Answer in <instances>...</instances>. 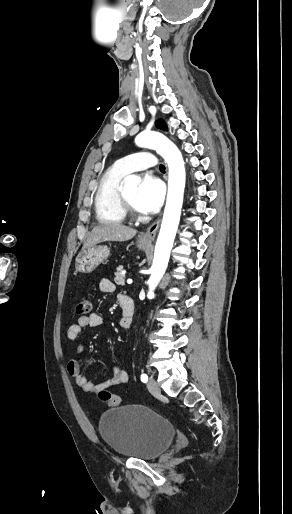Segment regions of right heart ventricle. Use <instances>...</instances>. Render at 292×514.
Segmentation results:
<instances>
[{
	"instance_id": "e07e8e85",
	"label": "right heart ventricle",
	"mask_w": 292,
	"mask_h": 514,
	"mask_svg": "<svg viewBox=\"0 0 292 514\" xmlns=\"http://www.w3.org/2000/svg\"><path fill=\"white\" fill-rule=\"evenodd\" d=\"M125 175L108 169L100 178L94 194V213L99 223H121L125 215L118 209L115 193Z\"/></svg>"
}]
</instances>
